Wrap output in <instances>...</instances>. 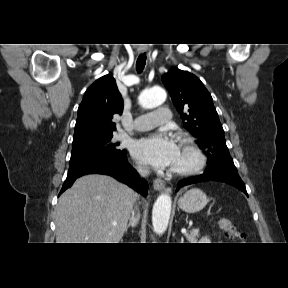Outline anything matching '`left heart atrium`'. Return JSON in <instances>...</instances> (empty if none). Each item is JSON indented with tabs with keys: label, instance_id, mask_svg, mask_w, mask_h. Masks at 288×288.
I'll list each match as a JSON object with an SVG mask.
<instances>
[{
	"label": "left heart atrium",
	"instance_id": "39dd6f15",
	"mask_svg": "<svg viewBox=\"0 0 288 288\" xmlns=\"http://www.w3.org/2000/svg\"><path fill=\"white\" fill-rule=\"evenodd\" d=\"M178 146L165 132H157L133 142L131 153L138 161L157 169L173 167Z\"/></svg>",
	"mask_w": 288,
	"mask_h": 288
}]
</instances>
